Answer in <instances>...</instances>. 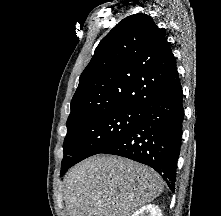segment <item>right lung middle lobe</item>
<instances>
[{
    "label": "right lung middle lobe",
    "instance_id": "1",
    "mask_svg": "<svg viewBox=\"0 0 221 216\" xmlns=\"http://www.w3.org/2000/svg\"><path fill=\"white\" fill-rule=\"evenodd\" d=\"M139 114L140 108L124 107L98 113L67 126L61 175L69 166L102 153L124 137L134 128Z\"/></svg>",
    "mask_w": 221,
    "mask_h": 216
}]
</instances>
